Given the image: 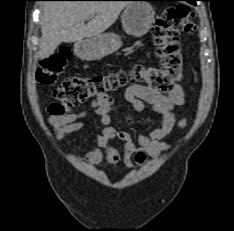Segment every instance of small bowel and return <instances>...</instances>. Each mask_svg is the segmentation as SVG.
Wrapping results in <instances>:
<instances>
[{"mask_svg":"<svg viewBox=\"0 0 234 231\" xmlns=\"http://www.w3.org/2000/svg\"><path fill=\"white\" fill-rule=\"evenodd\" d=\"M125 98L138 113H145V104H149L151 111L160 119V127L140 134L135 143L130 134L121 130L112 120V114L116 110L115 100L109 95L99 96L92 102V107L95 117L104 128L94 133L95 148L83 154L80 161L98 164L106 160L111 165L123 162L130 166L135 151L142 150L156 157L170 148L163 139L172 132L176 124L174 108L185 102L182 86L176 85L167 95H163L149 87L132 84L126 88ZM47 110L48 122L54 128L57 140L85 128V112L63 113L58 105H50ZM185 125V120L178 122L180 128H184Z\"/></svg>","mask_w":234,"mask_h":231,"instance_id":"1","label":"small bowel"}]
</instances>
